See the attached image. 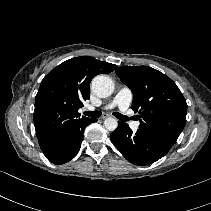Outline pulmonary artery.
<instances>
[{"mask_svg":"<svg viewBox=\"0 0 211 211\" xmlns=\"http://www.w3.org/2000/svg\"><path fill=\"white\" fill-rule=\"evenodd\" d=\"M132 98H133V95H132L131 90L127 87H123L117 92L113 100L109 104H107L104 108L112 109V108L117 107L119 108L120 111L126 112L131 104ZM87 108L88 110L94 109L92 106H88ZM131 127L132 129L136 130L139 127V123L132 122Z\"/></svg>","mask_w":211,"mask_h":211,"instance_id":"e3ab8cb5","label":"pulmonary artery"}]
</instances>
